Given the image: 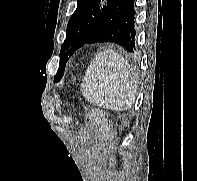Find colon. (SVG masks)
<instances>
[{"mask_svg":"<svg viewBox=\"0 0 197 181\" xmlns=\"http://www.w3.org/2000/svg\"><path fill=\"white\" fill-rule=\"evenodd\" d=\"M87 118L90 122L94 123L99 130L109 133L110 136L114 138V133L111 130L106 113L103 110L91 109L87 112Z\"/></svg>","mask_w":197,"mask_h":181,"instance_id":"1","label":"colon"}]
</instances>
